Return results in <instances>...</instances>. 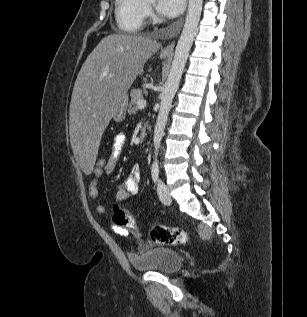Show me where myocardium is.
I'll return each instance as SVG.
<instances>
[{
	"label": "myocardium",
	"instance_id": "obj_1",
	"mask_svg": "<svg viewBox=\"0 0 307 317\" xmlns=\"http://www.w3.org/2000/svg\"><path fill=\"white\" fill-rule=\"evenodd\" d=\"M144 3L146 5V8L150 9L151 3L148 0H144Z\"/></svg>",
	"mask_w": 307,
	"mask_h": 317
}]
</instances>
